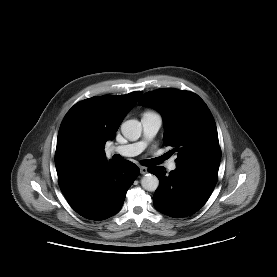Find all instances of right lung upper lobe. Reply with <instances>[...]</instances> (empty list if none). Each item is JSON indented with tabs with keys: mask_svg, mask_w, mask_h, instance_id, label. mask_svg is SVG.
Instances as JSON below:
<instances>
[{
	"mask_svg": "<svg viewBox=\"0 0 277 277\" xmlns=\"http://www.w3.org/2000/svg\"><path fill=\"white\" fill-rule=\"evenodd\" d=\"M141 91L124 96H95L75 104L64 117L57 138L55 165L58 179L106 162L107 140L134 107Z\"/></svg>",
	"mask_w": 277,
	"mask_h": 277,
	"instance_id": "1",
	"label": "right lung upper lobe"
}]
</instances>
